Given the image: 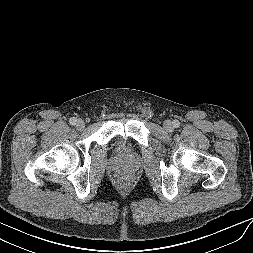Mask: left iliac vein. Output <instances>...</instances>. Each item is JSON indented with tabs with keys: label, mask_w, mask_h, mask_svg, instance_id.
I'll list each match as a JSON object with an SVG mask.
<instances>
[{
	"label": "left iliac vein",
	"mask_w": 253,
	"mask_h": 253,
	"mask_svg": "<svg viewBox=\"0 0 253 253\" xmlns=\"http://www.w3.org/2000/svg\"><path fill=\"white\" fill-rule=\"evenodd\" d=\"M163 127H164V130H165L166 132H172L173 129H174V126H173L172 122L169 121V120H166V121L164 122Z\"/></svg>",
	"instance_id": "1"
}]
</instances>
